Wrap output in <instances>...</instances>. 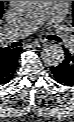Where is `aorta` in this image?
<instances>
[{
	"mask_svg": "<svg viewBox=\"0 0 74 122\" xmlns=\"http://www.w3.org/2000/svg\"><path fill=\"white\" fill-rule=\"evenodd\" d=\"M12 6L19 12H26L34 9L39 1H11ZM43 61L48 66H58L64 60V50L58 44H48L42 49Z\"/></svg>",
	"mask_w": 74,
	"mask_h": 122,
	"instance_id": "aorta-1",
	"label": "aorta"
}]
</instances>
